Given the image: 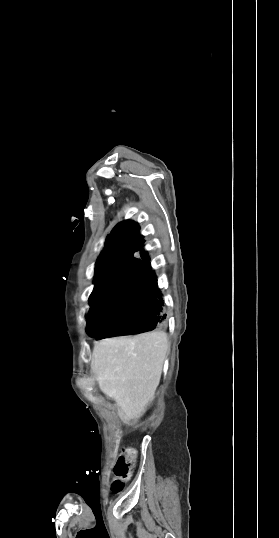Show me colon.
Segmentation results:
<instances>
[{
	"label": "colon",
	"mask_w": 279,
	"mask_h": 538,
	"mask_svg": "<svg viewBox=\"0 0 279 538\" xmlns=\"http://www.w3.org/2000/svg\"><path fill=\"white\" fill-rule=\"evenodd\" d=\"M136 457V451L133 448H126L119 455L114 465V478L111 484V490L114 493L120 492L124 483L130 478Z\"/></svg>",
	"instance_id": "obj_1"
}]
</instances>
